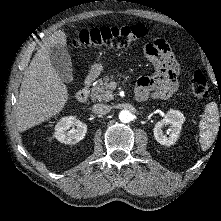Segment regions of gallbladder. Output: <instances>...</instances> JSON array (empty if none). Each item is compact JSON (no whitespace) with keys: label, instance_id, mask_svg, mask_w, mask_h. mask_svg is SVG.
I'll list each match as a JSON object with an SVG mask.
<instances>
[{"label":"gallbladder","instance_id":"gallbladder-1","mask_svg":"<svg viewBox=\"0 0 221 221\" xmlns=\"http://www.w3.org/2000/svg\"><path fill=\"white\" fill-rule=\"evenodd\" d=\"M52 66L58 72L61 80L65 83L73 81L71 57L64 46L56 45L49 50Z\"/></svg>","mask_w":221,"mask_h":221}]
</instances>
